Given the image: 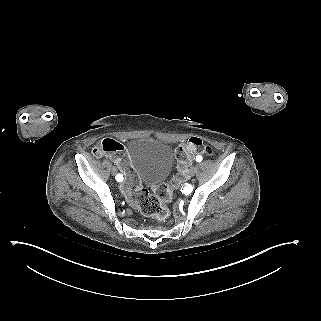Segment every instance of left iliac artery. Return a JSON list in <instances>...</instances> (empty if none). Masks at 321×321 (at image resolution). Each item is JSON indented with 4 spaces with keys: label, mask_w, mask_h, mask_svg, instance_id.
<instances>
[{
    "label": "left iliac artery",
    "mask_w": 321,
    "mask_h": 321,
    "mask_svg": "<svg viewBox=\"0 0 321 321\" xmlns=\"http://www.w3.org/2000/svg\"><path fill=\"white\" fill-rule=\"evenodd\" d=\"M196 161H197V162H201V161H202V157H201V156H197V157H196Z\"/></svg>",
    "instance_id": "obj_1"
}]
</instances>
